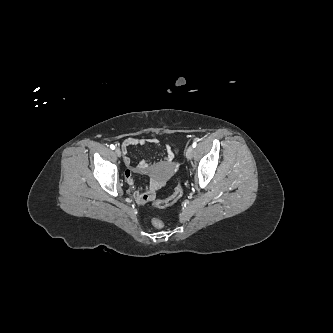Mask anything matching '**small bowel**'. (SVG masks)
Listing matches in <instances>:
<instances>
[{
  "label": "small bowel",
  "instance_id": "c3829d8e",
  "mask_svg": "<svg viewBox=\"0 0 333 333\" xmlns=\"http://www.w3.org/2000/svg\"><path fill=\"white\" fill-rule=\"evenodd\" d=\"M154 144L158 145L159 141L156 138H136V137H128L122 143V151L125 155L124 163L127 167L125 172V177L127 182L130 185H133L134 181L132 178V173H139V174H151L156 170L165 168V169H173V158L174 154L169 145H165L164 147V158L162 161L157 163H152L149 161H141L139 164L133 166L130 157L127 155L129 148L133 146H142L145 144ZM162 182L156 178H152L150 181L149 186L144 190H136L134 191V198L139 204H146L152 201L156 195V192L161 189Z\"/></svg>",
  "mask_w": 333,
  "mask_h": 333
}]
</instances>
